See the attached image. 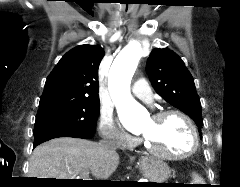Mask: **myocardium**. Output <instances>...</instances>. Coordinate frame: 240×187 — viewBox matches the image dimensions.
I'll use <instances>...</instances> for the list:
<instances>
[{"label": "myocardium", "instance_id": "1", "mask_svg": "<svg viewBox=\"0 0 240 187\" xmlns=\"http://www.w3.org/2000/svg\"><path fill=\"white\" fill-rule=\"evenodd\" d=\"M170 115H175L178 116L187 126L190 136H191V145L190 148L180 154H172V153H167V152H162L154 149L152 145L148 142V140L143 137V146L144 150L157 157L160 159H166V160H180V159H185L190 156H192L198 149L199 147V135L196 129L195 124L191 120V118L184 113L183 111L177 110V109H167V110H161L153 115V120H162L167 116Z\"/></svg>", "mask_w": 240, "mask_h": 187}]
</instances>
